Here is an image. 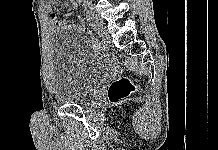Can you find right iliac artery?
Masks as SVG:
<instances>
[{
    "instance_id": "1",
    "label": "right iliac artery",
    "mask_w": 218,
    "mask_h": 150,
    "mask_svg": "<svg viewBox=\"0 0 218 150\" xmlns=\"http://www.w3.org/2000/svg\"><path fill=\"white\" fill-rule=\"evenodd\" d=\"M85 20H86V23L89 25V26H91V30L93 31L92 32V38L93 39H96L97 38V30L95 29V27H94V24H93V22L91 21V19L87 16L86 18H85ZM84 21V20H83Z\"/></svg>"
}]
</instances>
